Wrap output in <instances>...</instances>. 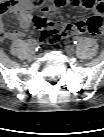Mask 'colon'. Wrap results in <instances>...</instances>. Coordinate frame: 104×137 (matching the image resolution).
Listing matches in <instances>:
<instances>
[{
	"instance_id": "colon-1",
	"label": "colon",
	"mask_w": 104,
	"mask_h": 137,
	"mask_svg": "<svg viewBox=\"0 0 104 137\" xmlns=\"http://www.w3.org/2000/svg\"><path fill=\"white\" fill-rule=\"evenodd\" d=\"M103 20L100 16H94L90 20V25L85 29L86 32L93 33L94 36L101 35L103 33ZM37 27L41 30L40 39L44 43L56 44L66 36L70 35L71 31L69 27L45 25L43 21L37 23Z\"/></svg>"
}]
</instances>
